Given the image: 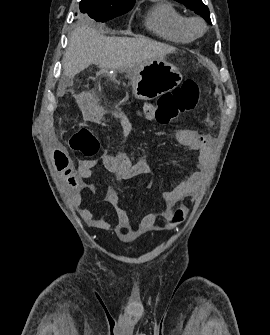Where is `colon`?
<instances>
[{"instance_id": "obj_1", "label": "colon", "mask_w": 270, "mask_h": 335, "mask_svg": "<svg viewBox=\"0 0 270 335\" xmlns=\"http://www.w3.org/2000/svg\"><path fill=\"white\" fill-rule=\"evenodd\" d=\"M199 97V87L192 81H186L176 88L163 93L155 102L148 100L141 108V114L150 121L167 125L179 115L192 110ZM69 146L76 154L93 158L100 151L98 137L89 128H80L72 133ZM183 219V211L177 209L173 220Z\"/></svg>"}]
</instances>
